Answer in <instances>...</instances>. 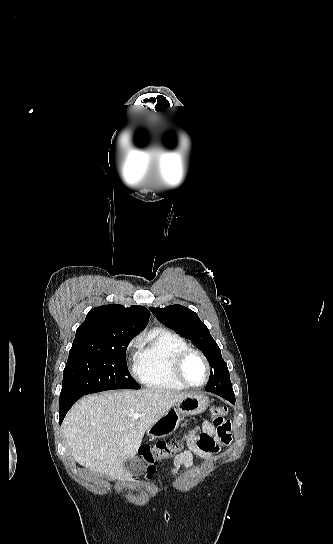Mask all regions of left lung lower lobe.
I'll list each match as a JSON object with an SVG mask.
<instances>
[{"instance_id":"left-lung-lower-lobe-1","label":"left lung lower lobe","mask_w":333,"mask_h":544,"mask_svg":"<svg viewBox=\"0 0 333 544\" xmlns=\"http://www.w3.org/2000/svg\"><path fill=\"white\" fill-rule=\"evenodd\" d=\"M218 396H221L222 398L228 400L229 402L231 403H235V395H234V392H218V391H214L212 392Z\"/></svg>"}]
</instances>
